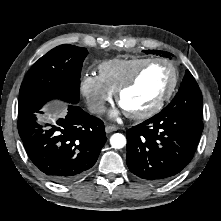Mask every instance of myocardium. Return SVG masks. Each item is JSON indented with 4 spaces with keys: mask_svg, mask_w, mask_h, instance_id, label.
I'll return each mask as SVG.
<instances>
[{
    "mask_svg": "<svg viewBox=\"0 0 221 221\" xmlns=\"http://www.w3.org/2000/svg\"><path fill=\"white\" fill-rule=\"evenodd\" d=\"M154 63H163L170 67L172 71L170 85L168 86L167 90L159 97V99L148 109L141 112L125 111L126 115L131 119L145 120L153 117L164 107V105L169 101V99L172 97L176 90L179 80V72L174 63H172L170 60L163 58H150L146 62H144L140 67H138L134 71V73L118 87L115 94L116 102L118 103V105L121 106V97L124 94V92L131 88L138 81L139 77L145 71V69H147L150 65Z\"/></svg>",
    "mask_w": 221,
    "mask_h": 221,
    "instance_id": "1",
    "label": "myocardium"
}]
</instances>
